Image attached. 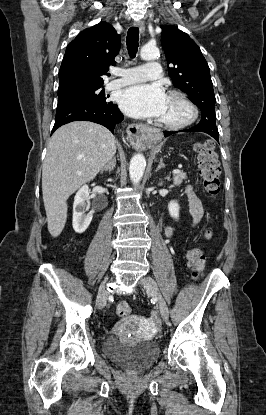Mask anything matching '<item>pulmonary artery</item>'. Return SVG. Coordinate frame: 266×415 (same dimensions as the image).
Returning <instances> with one entry per match:
<instances>
[{
  "label": "pulmonary artery",
  "mask_w": 266,
  "mask_h": 415,
  "mask_svg": "<svg viewBox=\"0 0 266 415\" xmlns=\"http://www.w3.org/2000/svg\"><path fill=\"white\" fill-rule=\"evenodd\" d=\"M114 74L120 77L108 84V88L111 90L145 80L158 79L161 76V65L158 62H149L142 66L119 69Z\"/></svg>",
  "instance_id": "pulmonary-artery-1"
}]
</instances>
